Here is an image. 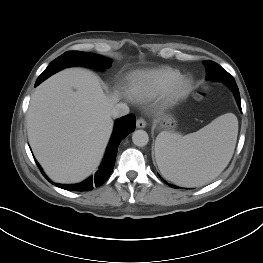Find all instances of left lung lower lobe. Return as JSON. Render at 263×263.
<instances>
[{"label":"left lung lower lobe","instance_id":"1","mask_svg":"<svg viewBox=\"0 0 263 263\" xmlns=\"http://www.w3.org/2000/svg\"><path fill=\"white\" fill-rule=\"evenodd\" d=\"M205 65H206V69H207V76H206V79H211L212 77L215 76V71L219 70L221 68L220 65H218L217 63L213 62V61H210V60H206L204 61ZM212 80V79H211ZM231 89L232 91L234 92V95H235V98H236V101H237V104L238 106L240 107L241 109V102H240V94H239V90H238V87L236 85V82L235 81H228L226 83ZM171 187H174V188H178L176 186H173V185H169Z\"/></svg>","mask_w":263,"mask_h":263}]
</instances>
